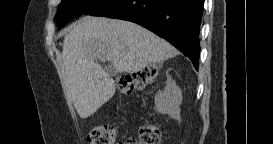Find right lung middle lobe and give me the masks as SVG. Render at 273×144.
<instances>
[{
    "instance_id": "1",
    "label": "right lung middle lobe",
    "mask_w": 273,
    "mask_h": 144,
    "mask_svg": "<svg viewBox=\"0 0 273 144\" xmlns=\"http://www.w3.org/2000/svg\"><path fill=\"white\" fill-rule=\"evenodd\" d=\"M109 0H62L58 7L55 20L58 26H64L68 20L91 14Z\"/></svg>"
}]
</instances>
